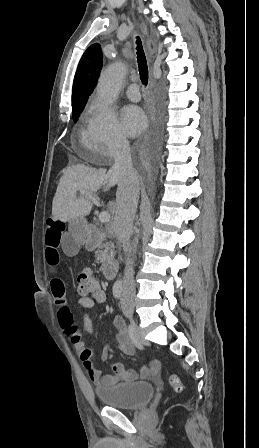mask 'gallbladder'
I'll return each mask as SVG.
<instances>
[{
    "label": "gallbladder",
    "instance_id": "bac80fb5",
    "mask_svg": "<svg viewBox=\"0 0 259 448\" xmlns=\"http://www.w3.org/2000/svg\"><path fill=\"white\" fill-rule=\"evenodd\" d=\"M61 246L66 256H76L81 248V244L77 240H74L70 234H63Z\"/></svg>",
    "mask_w": 259,
    "mask_h": 448
}]
</instances>
